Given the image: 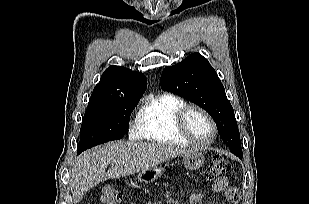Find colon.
<instances>
[{
    "instance_id": "colon-1",
    "label": "colon",
    "mask_w": 309,
    "mask_h": 204,
    "mask_svg": "<svg viewBox=\"0 0 309 204\" xmlns=\"http://www.w3.org/2000/svg\"><path fill=\"white\" fill-rule=\"evenodd\" d=\"M230 167V163L223 156L216 155L210 164L208 176L211 179L219 178L227 173L230 170ZM123 199V193L116 187L106 185L102 188L100 196V201L102 204H119L123 201Z\"/></svg>"
}]
</instances>
